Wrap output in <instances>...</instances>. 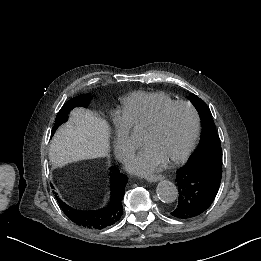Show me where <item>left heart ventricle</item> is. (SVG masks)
<instances>
[{"label": "left heart ventricle", "mask_w": 261, "mask_h": 261, "mask_svg": "<svg viewBox=\"0 0 261 261\" xmlns=\"http://www.w3.org/2000/svg\"><path fill=\"white\" fill-rule=\"evenodd\" d=\"M194 129L192 113L183 107H170L152 122L138 124L134 131L140 142L151 145L162 159L179 153Z\"/></svg>", "instance_id": "left-heart-ventricle-1"}]
</instances>
